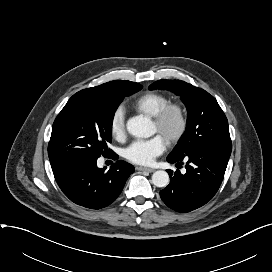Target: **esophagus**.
Instances as JSON below:
<instances>
[{
    "label": "esophagus",
    "instance_id": "obj_1",
    "mask_svg": "<svg viewBox=\"0 0 272 272\" xmlns=\"http://www.w3.org/2000/svg\"><path fill=\"white\" fill-rule=\"evenodd\" d=\"M136 169L138 171H146V172H150V173L155 171L153 168L141 167V166L136 167Z\"/></svg>",
    "mask_w": 272,
    "mask_h": 272
}]
</instances>
